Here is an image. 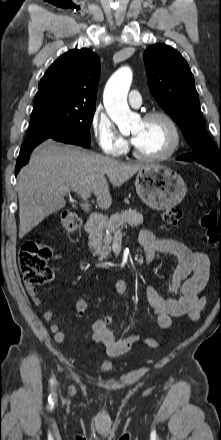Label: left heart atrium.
<instances>
[{
    "mask_svg": "<svg viewBox=\"0 0 221 440\" xmlns=\"http://www.w3.org/2000/svg\"><path fill=\"white\" fill-rule=\"evenodd\" d=\"M132 141H133V143L135 144L136 141H137V138H136V137H133V138H132Z\"/></svg>",
    "mask_w": 221,
    "mask_h": 440,
    "instance_id": "39dd6f15",
    "label": "left heart atrium"
}]
</instances>
